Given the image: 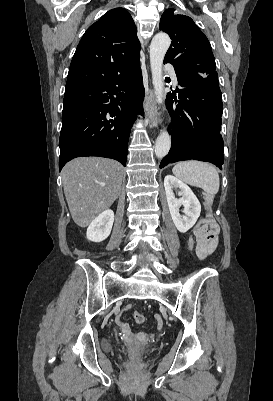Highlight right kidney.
Segmentation results:
<instances>
[{"label": "right kidney", "instance_id": "right-kidney-1", "mask_svg": "<svg viewBox=\"0 0 273 401\" xmlns=\"http://www.w3.org/2000/svg\"><path fill=\"white\" fill-rule=\"evenodd\" d=\"M113 223V211H111V209L103 211L99 217H96V219L90 223L86 233L88 241H93V243L105 241L111 233Z\"/></svg>", "mask_w": 273, "mask_h": 401}]
</instances>
